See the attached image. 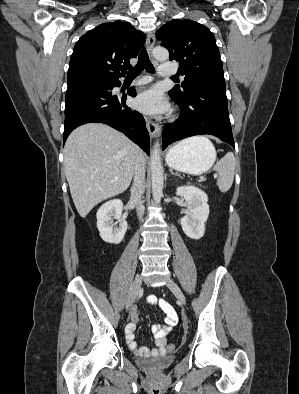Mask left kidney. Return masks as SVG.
I'll return each instance as SVG.
<instances>
[{"label": "left kidney", "mask_w": 299, "mask_h": 394, "mask_svg": "<svg viewBox=\"0 0 299 394\" xmlns=\"http://www.w3.org/2000/svg\"><path fill=\"white\" fill-rule=\"evenodd\" d=\"M176 195L184 197L189 213L182 217L181 226L191 239L198 240L204 236L205 223L209 216L208 196L201 189L189 185L177 187Z\"/></svg>", "instance_id": "left-kidney-1"}]
</instances>
